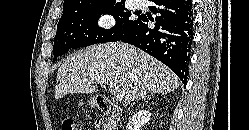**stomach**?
I'll use <instances>...</instances> for the list:
<instances>
[{"label":"stomach","instance_id":"1","mask_svg":"<svg viewBox=\"0 0 249 130\" xmlns=\"http://www.w3.org/2000/svg\"><path fill=\"white\" fill-rule=\"evenodd\" d=\"M89 105H90L91 107H95V106H96L95 98H92V99L89 100Z\"/></svg>","mask_w":249,"mask_h":130}]
</instances>
